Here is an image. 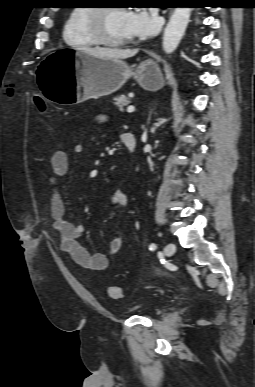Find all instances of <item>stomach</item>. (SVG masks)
<instances>
[{
  "mask_svg": "<svg viewBox=\"0 0 255 387\" xmlns=\"http://www.w3.org/2000/svg\"><path fill=\"white\" fill-rule=\"evenodd\" d=\"M45 59H35L33 82L42 87L52 104L75 108V103L117 91L130 77L149 91L163 86L158 64L145 60L128 66L119 59H108L75 50L74 46H56Z\"/></svg>",
  "mask_w": 255,
  "mask_h": 387,
  "instance_id": "stomach-1",
  "label": "stomach"
}]
</instances>
